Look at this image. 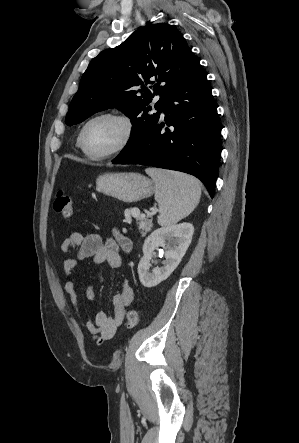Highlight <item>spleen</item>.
I'll return each instance as SVG.
<instances>
[{"mask_svg":"<svg viewBox=\"0 0 299 443\" xmlns=\"http://www.w3.org/2000/svg\"><path fill=\"white\" fill-rule=\"evenodd\" d=\"M145 171L156 186L159 225H174L195 209L201 196V187L197 179L179 172L156 168H147Z\"/></svg>","mask_w":299,"mask_h":443,"instance_id":"3e777b00","label":"spleen"}]
</instances>
